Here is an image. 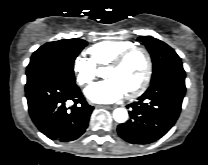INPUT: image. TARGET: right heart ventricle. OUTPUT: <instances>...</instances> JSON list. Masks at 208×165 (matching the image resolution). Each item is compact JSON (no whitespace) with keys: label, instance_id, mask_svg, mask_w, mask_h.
Returning a JSON list of instances; mask_svg holds the SVG:
<instances>
[{"label":"right heart ventricle","instance_id":"e07e8e85","mask_svg":"<svg viewBox=\"0 0 208 165\" xmlns=\"http://www.w3.org/2000/svg\"><path fill=\"white\" fill-rule=\"evenodd\" d=\"M134 46V44L127 40H103L88 49L91 55V60L95 65L108 64L120 52Z\"/></svg>","mask_w":208,"mask_h":165}]
</instances>
